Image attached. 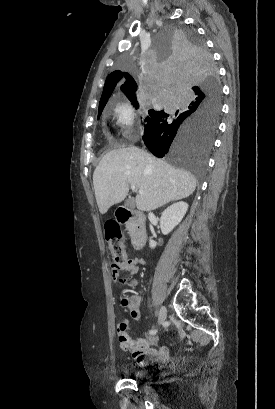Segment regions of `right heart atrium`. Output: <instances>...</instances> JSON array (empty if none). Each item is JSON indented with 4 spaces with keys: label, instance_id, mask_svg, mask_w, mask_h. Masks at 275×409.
<instances>
[{
    "label": "right heart atrium",
    "instance_id": "obj_1",
    "mask_svg": "<svg viewBox=\"0 0 275 409\" xmlns=\"http://www.w3.org/2000/svg\"><path fill=\"white\" fill-rule=\"evenodd\" d=\"M137 111L128 102L119 105L115 110V118L120 128L121 139L118 143H135L137 140Z\"/></svg>",
    "mask_w": 275,
    "mask_h": 409
}]
</instances>
